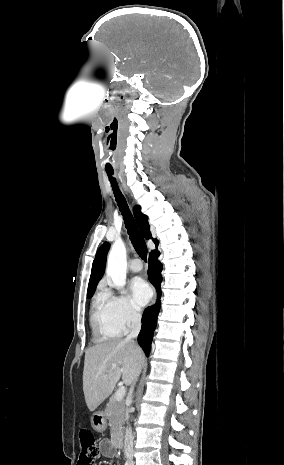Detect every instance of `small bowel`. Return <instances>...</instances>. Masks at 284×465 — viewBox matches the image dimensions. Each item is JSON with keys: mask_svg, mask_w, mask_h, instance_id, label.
<instances>
[{"mask_svg": "<svg viewBox=\"0 0 284 465\" xmlns=\"http://www.w3.org/2000/svg\"><path fill=\"white\" fill-rule=\"evenodd\" d=\"M99 451L104 457L114 458L116 456L115 448L108 439H103L99 442Z\"/></svg>", "mask_w": 284, "mask_h": 465, "instance_id": "small-bowel-1", "label": "small bowel"}]
</instances>
